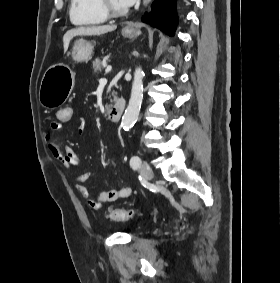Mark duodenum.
Returning <instances> with one entry per match:
<instances>
[{"mask_svg":"<svg viewBox=\"0 0 280 283\" xmlns=\"http://www.w3.org/2000/svg\"><path fill=\"white\" fill-rule=\"evenodd\" d=\"M124 109H125V100L119 99L110 108L108 115H107V119L110 122H118L123 115Z\"/></svg>","mask_w":280,"mask_h":283,"instance_id":"duodenum-1","label":"duodenum"}]
</instances>
